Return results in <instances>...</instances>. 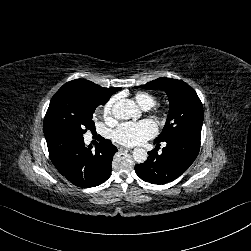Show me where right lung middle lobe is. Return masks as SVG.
Returning <instances> with one entry per match:
<instances>
[{
    "instance_id": "right-lung-middle-lobe-1",
    "label": "right lung middle lobe",
    "mask_w": 251,
    "mask_h": 251,
    "mask_svg": "<svg viewBox=\"0 0 251 251\" xmlns=\"http://www.w3.org/2000/svg\"><path fill=\"white\" fill-rule=\"evenodd\" d=\"M97 106L84 88L63 85L51 99L44 118V134L60 130L83 136L87 130L95 129L92 118Z\"/></svg>"
}]
</instances>
